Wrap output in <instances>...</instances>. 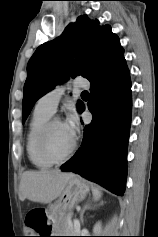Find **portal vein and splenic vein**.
<instances>
[{"mask_svg": "<svg viewBox=\"0 0 158 237\" xmlns=\"http://www.w3.org/2000/svg\"><path fill=\"white\" fill-rule=\"evenodd\" d=\"M74 226H75L76 228H80V223H79L78 220H74Z\"/></svg>", "mask_w": 158, "mask_h": 237, "instance_id": "portal-vein-and-splenic-vein-1", "label": "portal vein and splenic vein"}]
</instances>
